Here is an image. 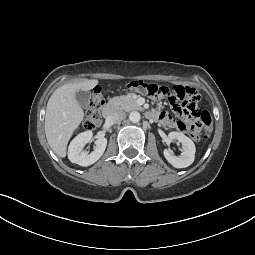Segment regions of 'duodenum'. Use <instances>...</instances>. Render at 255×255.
<instances>
[{"label": "duodenum", "mask_w": 255, "mask_h": 255, "mask_svg": "<svg viewBox=\"0 0 255 255\" xmlns=\"http://www.w3.org/2000/svg\"><path fill=\"white\" fill-rule=\"evenodd\" d=\"M114 115V108L111 105H108L103 110V116L106 120H111ZM148 117L151 119L156 118V114L154 112H149Z\"/></svg>", "instance_id": "duodenum-1"}]
</instances>
